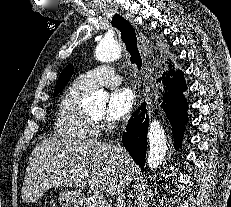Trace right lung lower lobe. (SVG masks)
I'll return each mask as SVG.
<instances>
[{
	"label": "right lung lower lobe",
	"mask_w": 231,
	"mask_h": 207,
	"mask_svg": "<svg viewBox=\"0 0 231 207\" xmlns=\"http://www.w3.org/2000/svg\"><path fill=\"white\" fill-rule=\"evenodd\" d=\"M163 77L158 81H162L165 93L163 95L162 107L170 120L172 127L175 149L179 148L183 139L185 125L188 121L187 102L182 92L186 90L183 73L178 70L164 72ZM146 109L142 105L129 120L126 132L122 136L124 147L130 153L135 162L144 167V157L146 154V133L148 129L149 116Z\"/></svg>",
	"instance_id": "1"
}]
</instances>
